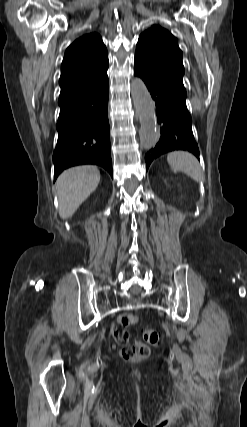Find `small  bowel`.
I'll list each match as a JSON object with an SVG mask.
<instances>
[{
  "label": "small bowel",
  "mask_w": 247,
  "mask_h": 427,
  "mask_svg": "<svg viewBox=\"0 0 247 427\" xmlns=\"http://www.w3.org/2000/svg\"><path fill=\"white\" fill-rule=\"evenodd\" d=\"M137 317L132 314H122L117 318V323L122 327L119 329L117 325H113L110 329L111 335L118 343H125L129 338L128 327L136 323Z\"/></svg>",
  "instance_id": "obj_1"
}]
</instances>
